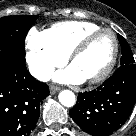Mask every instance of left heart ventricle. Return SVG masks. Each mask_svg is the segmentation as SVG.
Segmentation results:
<instances>
[{"mask_svg": "<svg viewBox=\"0 0 136 136\" xmlns=\"http://www.w3.org/2000/svg\"><path fill=\"white\" fill-rule=\"evenodd\" d=\"M114 49L113 38L104 33L96 37L71 64L84 79L100 73L109 63Z\"/></svg>", "mask_w": 136, "mask_h": 136, "instance_id": "left-heart-ventricle-1", "label": "left heart ventricle"}]
</instances>
